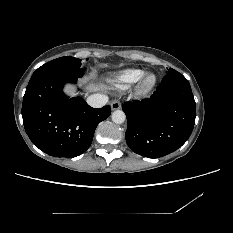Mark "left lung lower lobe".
<instances>
[{"instance_id": "obj_1", "label": "left lung lower lobe", "mask_w": 233, "mask_h": 233, "mask_svg": "<svg viewBox=\"0 0 233 233\" xmlns=\"http://www.w3.org/2000/svg\"><path fill=\"white\" fill-rule=\"evenodd\" d=\"M122 110L127 117V145L149 158L180 148L190 137L196 117L190 84L177 71L167 74L150 98L125 103Z\"/></svg>"}]
</instances>
